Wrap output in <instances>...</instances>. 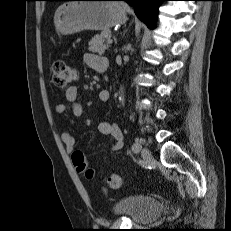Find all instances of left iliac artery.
<instances>
[{"label": "left iliac artery", "mask_w": 231, "mask_h": 231, "mask_svg": "<svg viewBox=\"0 0 231 231\" xmlns=\"http://www.w3.org/2000/svg\"><path fill=\"white\" fill-rule=\"evenodd\" d=\"M142 146L139 142H136L132 145V151L134 153H139V151L141 150Z\"/></svg>", "instance_id": "1"}]
</instances>
